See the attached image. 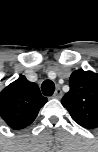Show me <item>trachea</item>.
I'll return each mask as SVG.
<instances>
[{
	"label": "trachea",
	"mask_w": 98,
	"mask_h": 152,
	"mask_svg": "<svg viewBox=\"0 0 98 152\" xmlns=\"http://www.w3.org/2000/svg\"><path fill=\"white\" fill-rule=\"evenodd\" d=\"M43 95L51 96L55 91V84L51 80H45L41 85Z\"/></svg>",
	"instance_id": "1"
}]
</instances>
